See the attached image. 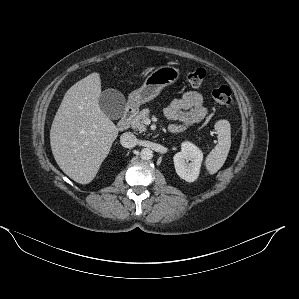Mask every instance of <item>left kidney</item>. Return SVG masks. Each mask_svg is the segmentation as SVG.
Wrapping results in <instances>:
<instances>
[{"instance_id": "5707ae66", "label": "left kidney", "mask_w": 299, "mask_h": 299, "mask_svg": "<svg viewBox=\"0 0 299 299\" xmlns=\"http://www.w3.org/2000/svg\"><path fill=\"white\" fill-rule=\"evenodd\" d=\"M202 160V151L191 142H183L181 151L173 157L176 173L187 182L198 178Z\"/></svg>"}]
</instances>
